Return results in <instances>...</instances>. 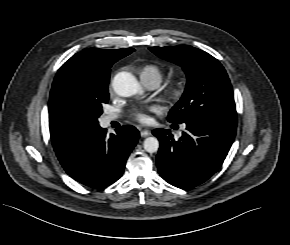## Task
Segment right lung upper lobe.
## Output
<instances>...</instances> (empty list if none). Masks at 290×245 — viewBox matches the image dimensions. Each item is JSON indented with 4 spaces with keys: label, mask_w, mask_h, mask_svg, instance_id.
Returning <instances> with one entry per match:
<instances>
[{
    "label": "right lung upper lobe",
    "mask_w": 290,
    "mask_h": 245,
    "mask_svg": "<svg viewBox=\"0 0 290 245\" xmlns=\"http://www.w3.org/2000/svg\"><path fill=\"white\" fill-rule=\"evenodd\" d=\"M133 51V48L117 50L89 48L75 54L62 65L54 79L49 99L50 137L55 151L65 146L85 131L92 129L83 118L64 103L58 94L56 83L60 74L67 67L74 64L104 66L109 63H115Z\"/></svg>",
    "instance_id": "right-lung-upper-lobe-1"
}]
</instances>
